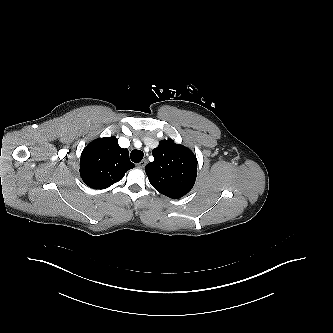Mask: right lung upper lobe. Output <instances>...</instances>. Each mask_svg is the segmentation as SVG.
<instances>
[{
    "instance_id": "obj_1",
    "label": "right lung upper lobe",
    "mask_w": 333,
    "mask_h": 333,
    "mask_svg": "<svg viewBox=\"0 0 333 333\" xmlns=\"http://www.w3.org/2000/svg\"><path fill=\"white\" fill-rule=\"evenodd\" d=\"M135 165L128 149L118 145L116 137H104L89 143L80 158V175L94 189H105L120 181Z\"/></svg>"
}]
</instances>
